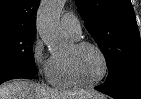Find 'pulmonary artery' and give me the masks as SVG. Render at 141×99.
<instances>
[{"mask_svg": "<svg viewBox=\"0 0 141 99\" xmlns=\"http://www.w3.org/2000/svg\"><path fill=\"white\" fill-rule=\"evenodd\" d=\"M61 28L74 38L81 35V25L77 17L72 13H65L60 21Z\"/></svg>", "mask_w": 141, "mask_h": 99, "instance_id": "obj_1", "label": "pulmonary artery"}]
</instances>
